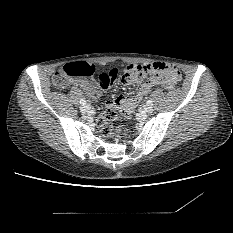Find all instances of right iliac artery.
<instances>
[{
    "mask_svg": "<svg viewBox=\"0 0 233 233\" xmlns=\"http://www.w3.org/2000/svg\"><path fill=\"white\" fill-rule=\"evenodd\" d=\"M80 104H81V105H85V104H86V100H85V99H81V100H80Z\"/></svg>",
    "mask_w": 233,
    "mask_h": 233,
    "instance_id": "1",
    "label": "right iliac artery"
}]
</instances>
